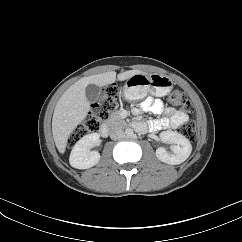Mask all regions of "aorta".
Returning <instances> with one entry per match:
<instances>
[{
    "label": "aorta",
    "mask_w": 242,
    "mask_h": 242,
    "mask_svg": "<svg viewBox=\"0 0 242 242\" xmlns=\"http://www.w3.org/2000/svg\"><path fill=\"white\" fill-rule=\"evenodd\" d=\"M124 135L128 138H132L134 136V132L131 128H127L124 132Z\"/></svg>",
    "instance_id": "1"
}]
</instances>
